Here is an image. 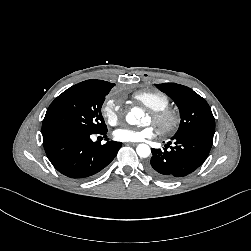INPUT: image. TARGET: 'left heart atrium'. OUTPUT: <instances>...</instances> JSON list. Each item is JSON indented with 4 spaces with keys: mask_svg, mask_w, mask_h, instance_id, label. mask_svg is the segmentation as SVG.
I'll return each instance as SVG.
<instances>
[{
    "mask_svg": "<svg viewBox=\"0 0 251 251\" xmlns=\"http://www.w3.org/2000/svg\"><path fill=\"white\" fill-rule=\"evenodd\" d=\"M154 135V129L151 126L135 129V128H120L114 132L116 140L121 142H141Z\"/></svg>",
    "mask_w": 251,
    "mask_h": 251,
    "instance_id": "39dd6f15",
    "label": "left heart atrium"
}]
</instances>
